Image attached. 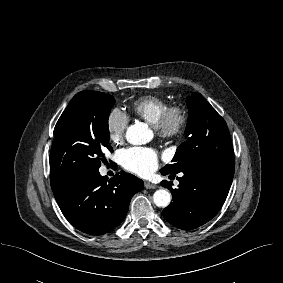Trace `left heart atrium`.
Returning a JSON list of instances; mask_svg holds the SVG:
<instances>
[{
    "instance_id": "obj_1",
    "label": "left heart atrium",
    "mask_w": 283,
    "mask_h": 283,
    "mask_svg": "<svg viewBox=\"0 0 283 283\" xmlns=\"http://www.w3.org/2000/svg\"><path fill=\"white\" fill-rule=\"evenodd\" d=\"M159 156L155 149L148 147H130L120 152L122 166L139 176H148L158 166Z\"/></svg>"
}]
</instances>
